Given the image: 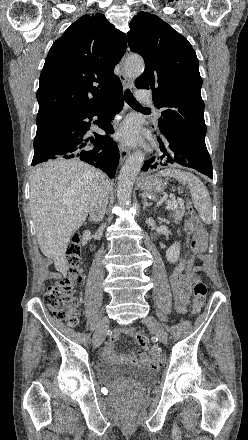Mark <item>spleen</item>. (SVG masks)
<instances>
[{
	"instance_id": "1",
	"label": "spleen",
	"mask_w": 248,
	"mask_h": 440,
	"mask_svg": "<svg viewBox=\"0 0 248 440\" xmlns=\"http://www.w3.org/2000/svg\"><path fill=\"white\" fill-rule=\"evenodd\" d=\"M157 176L173 177L183 185L187 184L192 196L194 207L205 224L212 222V203L207 188L198 177L190 172L179 169H165L159 171Z\"/></svg>"
}]
</instances>
